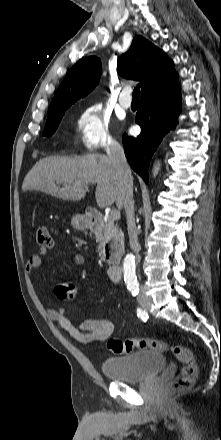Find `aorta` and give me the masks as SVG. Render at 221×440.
<instances>
[{
    "label": "aorta",
    "instance_id": "aorta-1",
    "mask_svg": "<svg viewBox=\"0 0 221 440\" xmlns=\"http://www.w3.org/2000/svg\"><path fill=\"white\" fill-rule=\"evenodd\" d=\"M158 170L159 167L155 166L154 175L157 174ZM123 273L127 287L131 290H136L138 288V283L135 273V260L134 257L130 254L125 257L123 264Z\"/></svg>",
    "mask_w": 221,
    "mask_h": 440
}]
</instances>
